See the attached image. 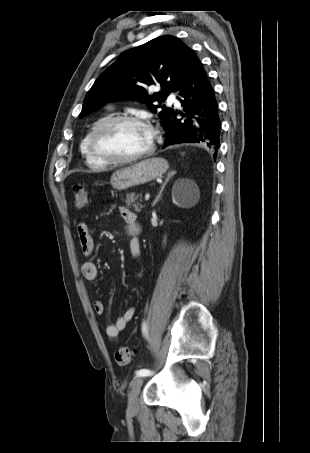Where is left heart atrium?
<instances>
[{
  "label": "left heart atrium",
  "mask_w": 310,
  "mask_h": 453,
  "mask_svg": "<svg viewBox=\"0 0 310 453\" xmlns=\"http://www.w3.org/2000/svg\"><path fill=\"white\" fill-rule=\"evenodd\" d=\"M149 135H150V138L153 137V132L151 130H149Z\"/></svg>",
  "instance_id": "obj_1"
}]
</instances>
